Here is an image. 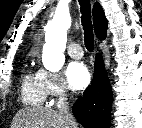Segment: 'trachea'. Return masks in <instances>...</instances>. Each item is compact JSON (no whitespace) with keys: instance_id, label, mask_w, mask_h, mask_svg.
<instances>
[{"instance_id":"3493384b","label":"trachea","mask_w":142,"mask_h":128,"mask_svg":"<svg viewBox=\"0 0 142 128\" xmlns=\"http://www.w3.org/2000/svg\"><path fill=\"white\" fill-rule=\"evenodd\" d=\"M81 10V22L84 30V41L85 46L89 52L93 51L94 48V34L93 26L91 21V4L90 0H78Z\"/></svg>"}]
</instances>
